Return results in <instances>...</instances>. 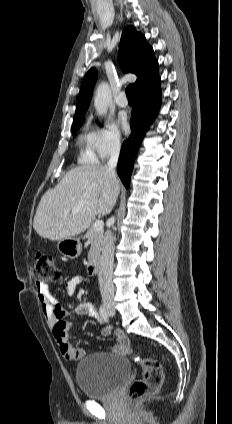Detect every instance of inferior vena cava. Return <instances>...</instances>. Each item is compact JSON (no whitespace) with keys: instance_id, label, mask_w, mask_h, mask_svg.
Returning <instances> with one entry per match:
<instances>
[{"instance_id":"1","label":"inferior vena cava","mask_w":232,"mask_h":424,"mask_svg":"<svg viewBox=\"0 0 232 424\" xmlns=\"http://www.w3.org/2000/svg\"><path fill=\"white\" fill-rule=\"evenodd\" d=\"M119 153L120 141L119 139H114L111 142V157L104 167L116 186L118 185V180L116 178L115 168L117 166ZM112 223H114V217L112 218ZM114 248L115 247L113 233L110 230H107L103 240L102 254L100 258L98 273L99 287L102 296V301L104 303H111L114 300V285L112 280Z\"/></svg>"}]
</instances>
